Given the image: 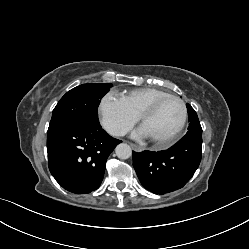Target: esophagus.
<instances>
[{
	"instance_id": "esophagus-1",
	"label": "esophagus",
	"mask_w": 249,
	"mask_h": 249,
	"mask_svg": "<svg viewBox=\"0 0 249 249\" xmlns=\"http://www.w3.org/2000/svg\"><path fill=\"white\" fill-rule=\"evenodd\" d=\"M130 146H131V148L134 150V151H136V152H141L142 151V148L141 147H139V146H137V145H135V144H130Z\"/></svg>"
}]
</instances>
